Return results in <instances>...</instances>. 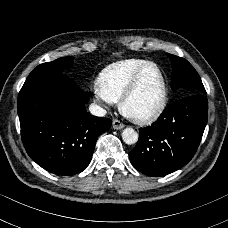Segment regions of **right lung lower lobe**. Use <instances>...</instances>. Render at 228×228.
<instances>
[{
  "label": "right lung lower lobe",
  "instance_id": "1",
  "mask_svg": "<svg viewBox=\"0 0 228 228\" xmlns=\"http://www.w3.org/2000/svg\"><path fill=\"white\" fill-rule=\"evenodd\" d=\"M88 95L62 72L27 78L18 96L21 135L28 155L45 170L74 175L90 163L98 136L111 120L90 115Z\"/></svg>",
  "mask_w": 228,
  "mask_h": 228
}]
</instances>
